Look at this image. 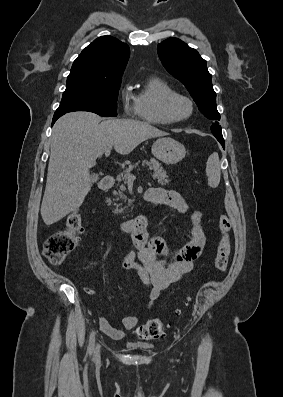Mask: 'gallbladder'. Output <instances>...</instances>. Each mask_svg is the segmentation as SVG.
Masks as SVG:
<instances>
[{
  "label": "gallbladder",
  "instance_id": "obj_1",
  "mask_svg": "<svg viewBox=\"0 0 283 397\" xmlns=\"http://www.w3.org/2000/svg\"><path fill=\"white\" fill-rule=\"evenodd\" d=\"M93 180H95V181H96V180H97V177H95V176H94V177H93Z\"/></svg>",
  "mask_w": 283,
  "mask_h": 397
}]
</instances>
